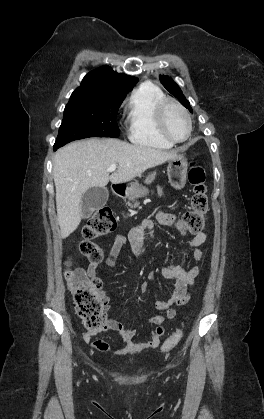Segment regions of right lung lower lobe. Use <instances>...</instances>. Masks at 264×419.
<instances>
[{"label":"right lung lower lobe","instance_id":"98d812e1","mask_svg":"<svg viewBox=\"0 0 264 419\" xmlns=\"http://www.w3.org/2000/svg\"><path fill=\"white\" fill-rule=\"evenodd\" d=\"M59 147H54V150L56 151Z\"/></svg>","mask_w":264,"mask_h":419}]
</instances>
